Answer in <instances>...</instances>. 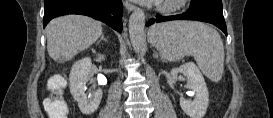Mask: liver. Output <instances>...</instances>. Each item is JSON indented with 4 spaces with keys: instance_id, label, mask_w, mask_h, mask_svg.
Returning <instances> with one entry per match:
<instances>
[{
    "instance_id": "1",
    "label": "liver",
    "mask_w": 273,
    "mask_h": 118,
    "mask_svg": "<svg viewBox=\"0 0 273 118\" xmlns=\"http://www.w3.org/2000/svg\"><path fill=\"white\" fill-rule=\"evenodd\" d=\"M47 51L57 61H68L87 49L102 35V24L92 18L67 15L53 19L46 27Z\"/></svg>"
}]
</instances>
